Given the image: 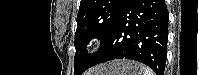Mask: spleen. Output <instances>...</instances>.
Segmentation results:
<instances>
[{
    "mask_svg": "<svg viewBox=\"0 0 199 75\" xmlns=\"http://www.w3.org/2000/svg\"><path fill=\"white\" fill-rule=\"evenodd\" d=\"M141 68H142L141 75H154V72L150 68L144 66H141Z\"/></svg>",
    "mask_w": 199,
    "mask_h": 75,
    "instance_id": "1",
    "label": "spleen"
}]
</instances>
